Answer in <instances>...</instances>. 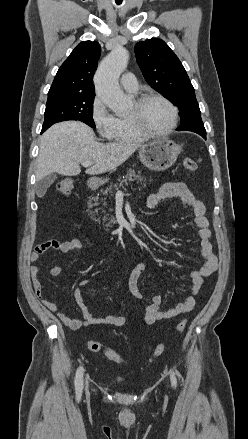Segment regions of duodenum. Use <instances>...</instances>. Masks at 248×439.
<instances>
[{
	"mask_svg": "<svg viewBox=\"0 0 248 439\" xmlns=\"http://www.w3.org/2000/svg\"><path fill=\"white\" fill-rule=\"evenodd\" d=\"M91 189H94V185H91Z\"/></svg>",
	"mask_w": 248,
	"mask_h": 439,
	"instance_id": "410a0bca",
	"label": "duodenum"
}]
</instances>
